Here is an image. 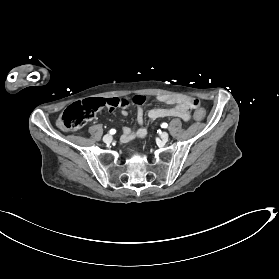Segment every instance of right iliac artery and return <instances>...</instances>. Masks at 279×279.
<instances>
[{
	"instance_id": "right-iliac-artery-1",
	"label": "right iliac artery",
	"mask_w": 279,
	"mask_h": 279,
	"mask_svg": "<svg viewBox=\"0 0 279 279\" xmlns=\"http://www.w3.org/2000/svg\"><path fill=\"white\" fill-rule=\"evenodd\" d=\"M109 133H110V134H115V133H116V130H115V129H111V130L109 131Z\"/></svg>"
}]
</instances>
